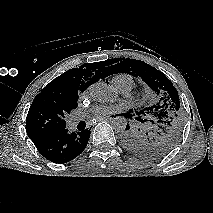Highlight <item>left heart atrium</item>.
Instances as JSON below:
<instances>
[{"instance_id": "1", "label": "left heart atrium", "mask_w": 213, "mask_h": 213, "mask_svg": "<svg viewBox=\"0 0 213 213\" xmlns=\"http://www.w3.org/2000/svg\"><path fill=\"white\" fill-rule=\"evenodd\" d=\"M114 111H116V107L115 106H97L93 109V114L99 118V117H104L106 115H109L111 113H113Z\"/></svg>"}]
</instances>
